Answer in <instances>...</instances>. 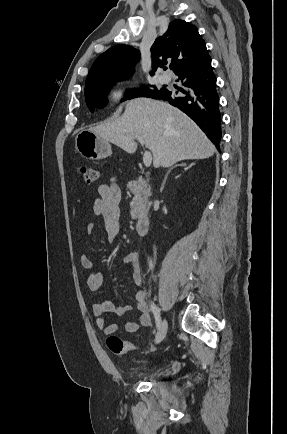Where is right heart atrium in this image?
Wrapping results in <instances>:
<instances>
[{
    "mask_svg": "<svg viewBox=\"0 0 287 434\" xmlns=\"http://www.w3.org/2000/svg\"><path fill=\"white\" fill-rule=\"evenodd\" d=\"M129 95H130L129 89H127L126 87L120 86V87H116L113 90H111L110 99L114 103H122L128 99Z\"/></svg>",
    "mask_w": 287,
    "mask_h": 434,
    "instance_id": "d8ad5b80",
    "label": "right heart atrium"
}]
</instances>
